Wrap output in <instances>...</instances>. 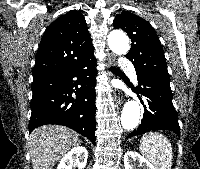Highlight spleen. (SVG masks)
<instances>
[{
  "label": "spleen",
  "mask_w": 200,
  "mask_h": 169,
  "mask_svg": "<svg viewBox=\"0 0 200 169\" xmlns=\"http://www.w3.org/2000/svg\"><path fill=\"white\" fill-rule=\"evenodd\" d=\"M140 152L156 169H171L172 167V146L170 141L158 132H149L140 140Z\"/></svg>",
  "instance_id": "obj_1"
}]
</instances>
